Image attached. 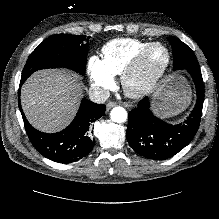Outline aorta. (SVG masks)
Returning <instances> with one entry per match:
<instances>
[{
	"label": "aorta",
	"instance_id": "obj_1",
	"mask_svg": "<svg viewBox=\"0 0 219 219\" xmlns=\"http://www.w3.org/2000/svg\"><path fill=\"white\" fill-rule=\"evenodd\" d=\"M128 114L123 107H115L110 112V118L115 123H123L127 120Z\"/></svg>",
	"mask_w": 219,
	"mask_h": 219
}]
</instances>
